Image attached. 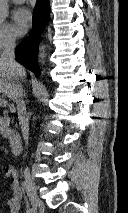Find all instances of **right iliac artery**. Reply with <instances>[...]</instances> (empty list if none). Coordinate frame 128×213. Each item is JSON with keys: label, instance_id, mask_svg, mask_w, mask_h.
Returning a JSON list of instances; mask_svg holds the SVG:
<instances>
[{"label": "right iliac artery", "instance_id": "1", "mask_svg": "<svg viewBox=\"0 0 128 213\" xmlns=\"http://www.w3.org/2000/svg\"><path fill=\"white\" fill-rule=\"evenodd\" d=\"M22 189L25 190V191L27 192L25 182H22ZM33 211H34V210H30V212H33Z\"/></svg>", "mask_w": 128, "mask_h": 213}]
</instances>
